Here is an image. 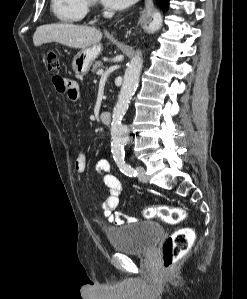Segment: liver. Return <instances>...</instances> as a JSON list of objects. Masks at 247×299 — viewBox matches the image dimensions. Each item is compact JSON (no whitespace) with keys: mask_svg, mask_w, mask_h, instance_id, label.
<instances>
[{"mask_svg":"<svg viewBox=\"0 0 247 299\" xmlns=\"http://www.w3.org/2000/svg\"><path fill=\"white\" fill-rule=\"evenodd\" d=\"M101 39L102 33L95 27L67 23L41 25L33 35V43L36 47L57 42L82 50L99 43Z\"/></svg>","mask_w":247,"mask_h":299,"instance_id":"obj_1","label":"liver"}]
</instances>
